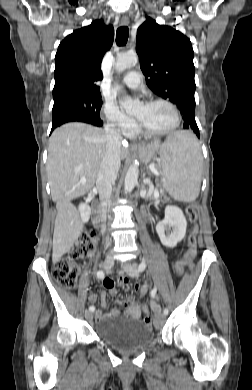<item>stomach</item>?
<instances>
[{
	"label": "stomach",
	"mask_w": 252,
	"mask_h": 390,
	"mask_svg": "<svg viewBox=\"0 0 252 390\" xmlns=\"http://www.w3.org/2000/svg\"><path fill=\"white\" fill-rule=\"evenodd\" d=\"M162 149V148H161ZM140 159L144 163H149L154 157L156 156L157 152L159 151V143L154 142L148 145L140 146L136 149ZM161 154V151H160Z\"/></svg>",
	"instance_id": "1"
}]
</instances>
